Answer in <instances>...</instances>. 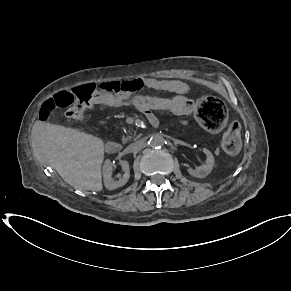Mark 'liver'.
<instances>
[{
    "instance_id": "obj_1",
    "label": "liver",
    "mask_w": 291,
    "mask_h": 291,
    "mask_svg": "<svg viewBox=\"0 0 291 291\" xmlns=\"http://www.w3.org/2000/svg\"><path fill=\"white\" fill-rule=\"evenodd\" d=\"M31 145L34 156L56 166L65 182L79 190L101 191L102 139L62 125L36 121Z\"/></svg>"
}]
</instances>
